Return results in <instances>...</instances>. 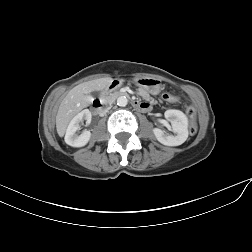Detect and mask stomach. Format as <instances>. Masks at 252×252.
Listing matches in <instances>:
<instances>
[{
    "label": "stomach",
    "mask_w": 252,
    "mask_h": 252,
    "mask_svg": "<svg viewBox=\"0 0 252 252\" xmlns=\"http://www.w3.org/2000/svg\"><path fill=\"white\" fill-rule=\"evenodd\" d=\"M135 83L146 92L157 95L161 88L162 84L159 79L153 77H141L135 79Z\"/></svg>",
    "instance_id": "0dacf381"
}]
</instances>
